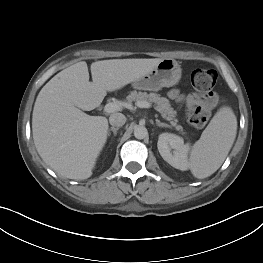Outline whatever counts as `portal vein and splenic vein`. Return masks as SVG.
<instances>
[{
  "instance_id": "portal-vein-and-splenic-vein-1",
  "label": "portal vein and splenic vein",
  "mask_w": 263,
  "mask_h": 263,
  "mask_svg": "<svg viewBox=\"0 0 263 263\" xmlns=\"http://www.w3.org/2000/svg\"><path fill=\"white\" fill-rule=\"evenodd\" d=\"M136 105L139 107V108H151L152 107V104L150 102H147V101H138L136 103ZM123 105L119 102H110V103H107L104 107V111L106 113H113L115 111H118L120 110V108L122 107Z\"/></svg>"
}]
</instances>
